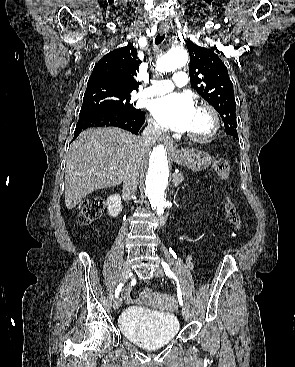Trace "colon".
<instances>
[{"instance_id":"1","label":"colon","mask_w":295,"mask_h":367,"mask_svg":"<svg viewBox=\"0 0 295 367\" xmlns=\"http://www.w3.org/2000/svg\"><path fill=\"white\" fill-rule=\"evenodd\" d=\"M213 169L221 179H226L230 173V162L227 159H218L214 162ZM103 208L104 201L100 197H94L86 200L79 211V223L86 225L93 222L102 214ZM224 209L228 222L236 230H239L241 228V216L230 198H226ZM150 294L151 290L148 288H145L142 292L143 296H148Z\"/></svg>"}]
</instances>
